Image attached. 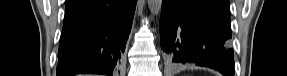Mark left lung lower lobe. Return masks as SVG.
I'll return each instance as SVG.
<instances>
[{
	"label": "left lung lower lobe",
	"instance_id": "obj_1",
	"mask_svg": "<svg viewBox=\"0 0 287 76\" xmlns=\"http://www.w3.org/2000/svg\"><path fill=\"white\" fill-rule=\"evenodd\" d=\"M161 48L170 63H194L234 75L229 13L209 0H163Z\"/></svg>",
	"mask_w": 287,
	"mask_h": 76
}]
</instances>
